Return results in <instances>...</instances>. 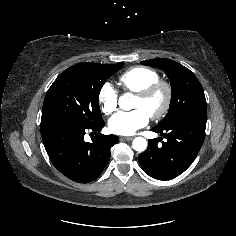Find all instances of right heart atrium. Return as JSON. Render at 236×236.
I'll list each match as a JSON object with an SVG mask.
<instances>
[{
	"label": "right heart atrium",
	"instance_id": "obj_1",
	"mask_svg": "<svg viewBox=\"0 0 236 236\" xmlns=\"http://www.w3.org/2000/svg\"><path fill=\"white\" fill-rule=\"evenodd\" d=\"M97 99L102 113L111 115L117 109L119 94L111 83L106 82L100 87Z\"/></svg>",
	"mask_w": 236,
	"mask_h": 236
}]
</instances>
